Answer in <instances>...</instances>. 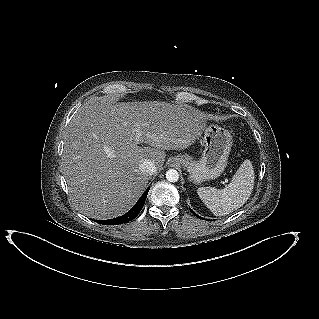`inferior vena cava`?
<instances>
[{"mask_svg": "<svg viewBox=\"0 0 319 319\" xmlns=\"http://www.w3.org/2000/svg\"><path fill=\"white\" fill-rule=\"evenodd\" d=\"M139 169L145 175H154L157 171L155 164L149 159H144L139 164Z\"/></svg>", "mask_w": 319, "mask_h": 319, "instance_id": "obj_1", "label": "inferior vena cava"}]
</instances>
